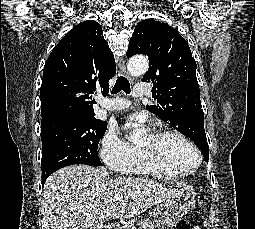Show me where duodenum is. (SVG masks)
I'll return each mask as SVG.
<instances>
[{"label": "duodenum", "instance_id": "duodenum-1", "mask_svg": "<svg viewBox=\"0 0 255 229\" xmlns=\"http://www.w3.org/2000/svg\"><path fill=\"white\" fill-rule=\"evenodd\" d=\"M107 229H122L119 224H110Z\"/></svg>", "mask_w": 255, "mask_h": 229}]
</instances>
